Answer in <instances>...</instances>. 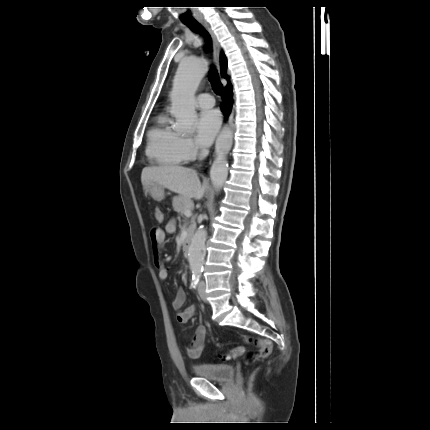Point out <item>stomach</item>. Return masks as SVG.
<instances>
[{
  "label": "stomach",
  "instance_id": "1",
  "mask_svg": "<svg viewBox=\"0 0 430 430\" xmlns=\"http://www.w3.org/2000/svg\"><path fill=\"white\" fill-rule=\"evenodd\" d=\"M144 190L146 193L157 201H161L164 198V186L156 182H146L144 185Z\"/></svg>",
  "mask_w": 430,
  "mask_h": 430
}]
</instances>
